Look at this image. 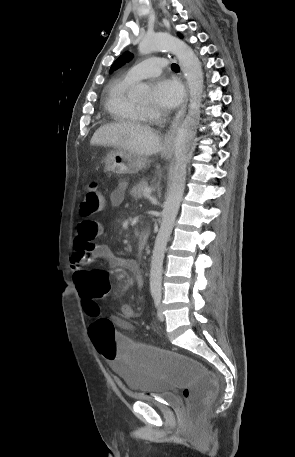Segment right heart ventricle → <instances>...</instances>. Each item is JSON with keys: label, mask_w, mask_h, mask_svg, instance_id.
<instances>
[{"label": "right heart ventricle", "mask_w": 295, "mask_h": 457, "mask_svg": "<svg viewBox=\"0 0 295 457\" xmlns=\"http://www.w3.org/2000/svg\"><path fill=\"white\" fill-rule=\"evenodd\" d=\"M135 83V80L125 76L108 85L105 108L114 120L125 123H142L147 120L145 108L130 96V90Z\"/></svg>", "instance_id": "obj_1"}]
</instances>
